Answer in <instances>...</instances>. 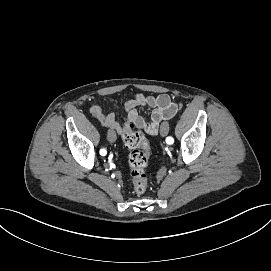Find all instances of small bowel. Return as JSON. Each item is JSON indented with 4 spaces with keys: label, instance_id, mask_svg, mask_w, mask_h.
Segmentation results:
<instances>
[{
    "label": "small bowel",
    "instance_id": "small-bowel-1",
    "mask_svg": "<svg viewBox=\"0 0 271 271\" xmlns=\"http://www.w3.org/2000/svg\"><path fill=\"white\" fill-rule=\"evenodd\" d=\"M140 107L153 109L149 120L145 119L138 111ZM124 122H119L115 115L107 113L98 104L90 107L89 113L97 119L108 131L122 134L129 125L144 130L146 133L155 135L163 121L174 117L178 111L177 103L167 94L158 96H145L136 94L125 103Z\"/></svg>",
    "mask_w": 271,
    "mask_h": 271
}]
</instances>
